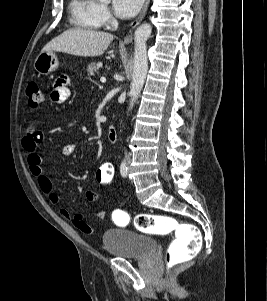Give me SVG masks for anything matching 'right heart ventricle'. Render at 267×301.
<instances>
[{
    "instance_id": "obj_1",
    "label": "right heart ventricle",
    "mask_w": 267,
    "mask_h": 301,
    "mask_svg": "<svg viewBox=\"0 0 267 301\" xmlns=\"http://www.w3.org/2000/svg\"><path fill=\"white\" fill-rule=\"evenodd\" d=\"M71 22L74 26L87 30L99 29L97 0H71L69 5Z\"/></svg>"
}]
</instances>
